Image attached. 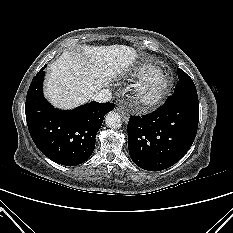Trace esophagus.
<instances>
[{
	"label": "esophagus",
	"instance_id": "esophagus-1",
	"mask_svg": "<svg viewBox=\"0 0 233 233\" xmlns=\"http://www.w3.org/2000/svg\"><path fill=\"white\" fill-rule=\"evenodd\" d=\"M116 111L120 113V115H121L123 121L127 122V121L129 120V116H128V114L124 111L123 108L117 107V108H116Z\"/></svg>",
	"mask_w": 233,
	"mask_h": 233
}]
</instances>
